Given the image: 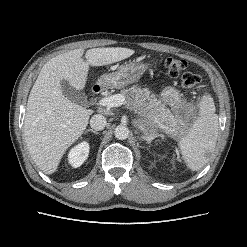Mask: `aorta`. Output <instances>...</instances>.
<instances>
[{"label": "aorta", "instance_id": "1", "mask_svg": "<svg viewBox=\"0 0 247 247\" xmlns=\"http://www.w3.org/2000/svg\"><path fill=\"white\" fill-rule=\"evenodd\" d=\"M115 137L119 140H125L129 136V129L127 126L118 125L114 131Z\"/></svg>", "mask_w": 247, "mask_h": 247}]
</instances>
